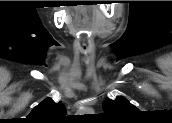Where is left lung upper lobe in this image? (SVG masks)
<instances>
[{
    "instance_id": "left-lung-upper-lobe-1",
    "label": "left lung upper lobe",
    "mask_w": 172,
    "mask_h": 123,
    "mask_svg": "<svg viewBox=\"0 0 172 123\" xmlns=\"http://www.w3.org/2000/svg\"><path fill=\"white\" fill-rule=\"evenodd\" d=\"M105 115L115 118H125L137 113V108L126 98L118 96L115 100L107 98L103 102Z\"/></svg>"
}]
</instances>
